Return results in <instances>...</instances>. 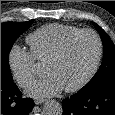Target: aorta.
<instances>
[{
	"label": "aorta",
	"instance_id": "aorta-1",
	"mask_svg": "<svg viewBox=\"0 0 115 115\" xmlns=\"http://www.w3.org/2000/svg\"><path fill=\"white\" fill-rule=\"evenodd\" d=\"M43 112L45 115H62L63 108L57 101L50 100L44 104Z\"/></svg>",
	"mask_w": 115,
	"mask_h": 115
}]
</instances>
